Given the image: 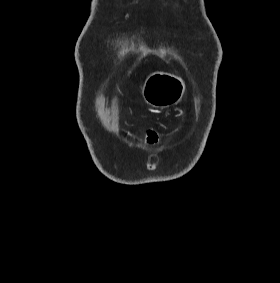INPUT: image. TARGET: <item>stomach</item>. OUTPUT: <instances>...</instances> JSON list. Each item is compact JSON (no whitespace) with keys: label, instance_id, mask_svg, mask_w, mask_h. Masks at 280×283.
Listing matches in <instances>:
<instances>
[{"label":"stomach","instance_id":"stomach-1","mask_svg":"<svg viewBox=\"0 0 280 283\" xmlns=\"http://www.w3.org/2000/svg\"><path fill=\"white\" fill-rule=\"evenodd\" d=\"M142 97L156 108H166L181 101L185 93L182 78L165 72H153L144 81Z\"/></svg>","mask_w":280,"mask_h":283}]
</instances>
